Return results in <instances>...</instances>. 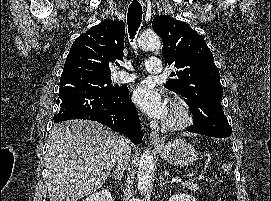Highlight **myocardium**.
<instances>
[{
	"mask_svg": "<svg viewBox=\"0 0 271 201\" xmlns=\"http://www.w3.org/2000/svg\"><path fill=\"white\" fill-rule=\"evenodd\" d=\"M192 122L193 113L189 105L182 99H175L163 127L168 131H180L188 128Z\"/></svg>",
	"mask_w": 271,
	"mask_h": 201,
	"instance_id": "f54148a6",
	"label": "myocardium"
}]
</instances>
